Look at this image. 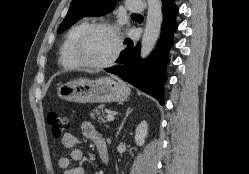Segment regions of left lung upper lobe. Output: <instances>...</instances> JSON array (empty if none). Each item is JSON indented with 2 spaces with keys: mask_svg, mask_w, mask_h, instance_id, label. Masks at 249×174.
Segmentation results:
<instances>
[{
  "mask_svg": "<svg viewBox=\"0 0 249 174\" xmlns=\"http://www.w3.org/2000/svg\"><path fill=\"white\" fill-rule=\"evenodd\" d=\"M115 3V0H72L68 13L58 27L57 33H62L83 16H100L109 13Z\"/></svg>",
  "mask_w": 249,
  "mask_h": 174,
  "instance_id": "left-lung-upper-lobe-1",
  "label": "left lung upper lobe"
}]
</instances>
